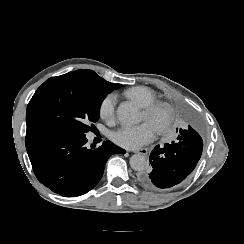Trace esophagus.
I'll list each match as a JSON object with an SVG mask.
<instances>
[{
    "mask_svg": "<svg viewBox=\"0 0 244 244\" xmlns=\"http://www.w3.org/2000/svg\"><path fill=\"white\" fill-rule=\"evenodd\" d=\"M134 153H137V154H141V155H144V156H147L148 155V148H141V149H138V150H133Z\"/></svg>",
    "mask_w": 244,
    "mask_h": 244,
    "instance_id": "34e87169",
    "label": "esophagus"
}]
</instances>
